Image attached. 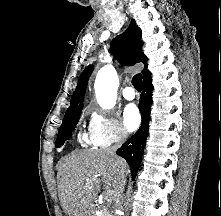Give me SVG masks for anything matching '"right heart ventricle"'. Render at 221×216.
<instances>
[{"label":"right heart ventricle","instance_id":"e07e8e85","mask_svg":"<svg viewBox=\"0 0 221 216\" xmlns=\"http://www.w3.org/2000/svg\"><path fill=\"white\" fill-rule=\"evenodd\" d=\"M78 140H79V142L81 143V145H83V146H85V145L91 143V141H88V140H87V137H86L85 134H79Z\"/></svg>","mask_w":221,"mask_h":216}]
</instances>
